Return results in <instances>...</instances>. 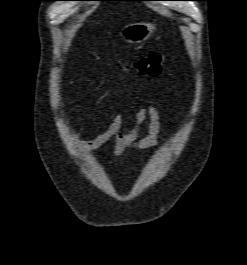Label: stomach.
<instances>
[{
    "mask_svg": "<svg viewBox=\"0 0 247 265\" xmlns=\"http://www.w3.org/2000/svg\"><path fill=\"white\" fill-rule=\"evenodd\" d=\"M157 30L153 23H132L126 25L119 33L125 41L133 44L143 43Z\"/></svg>",
    "mask_w": 247,
    "mask_h": 265,
    "instance_id": "obj_1",
    "label": "stomach"
}]
</instances>
